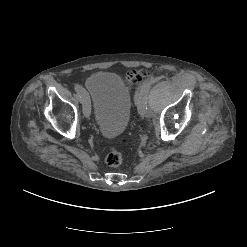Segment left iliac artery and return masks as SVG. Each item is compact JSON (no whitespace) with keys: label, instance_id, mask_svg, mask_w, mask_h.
Wrapping results in <instances>:
<instances>
[{"label":"left iliac artery","instance_id":"44dca946","mask_svg":"<svg viewBox=\"0 0 247 247\" xmlns=\"http://www.w3.org/2000/svg\"><path fill=\"white\" fill-rule=\"evenodd\" d=\"M154 80H150L148 82H145L143 83V85L141 86V90L140 92H143V94H147V92L149 91L150 87L152 86ZM147 95H144L142 98H141V101H140V105L143 106V107H147Z\"/></svg>","mask_w":247,"mask_h":247}]
</instances>
